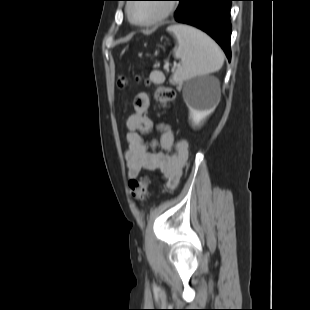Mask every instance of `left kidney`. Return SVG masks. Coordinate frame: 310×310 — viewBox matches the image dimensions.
Segmentation results:
<instances>
[{"mask_svg":"<svg viewBox=\"0 0 310 310\" xmlns=\"http://www.w3.org/2000/svg\"><path fill=\"white\" fill-rule=\"evenodd\" d=\"M190 119L195 126H199L210 114L211 110H203L192 104H188Z\"/></svg>","mask_w":310,"mask_h":310,"instance_id":"obj_1","label":"left kidney"}]
</instances>
